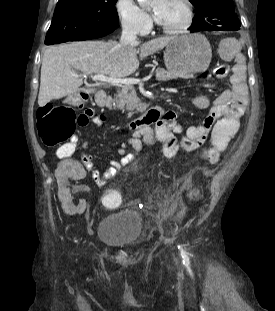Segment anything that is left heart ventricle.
Returning <instances> with one entry per match:
<instances>
[{
    "label": "left heart ventricle",
    "mask_w": 275,
    "mask_h": 311,
    "mask_svg": "<svg viewBox=\"0 0 275 311\" xmlns=\"http://www.w3.org/2000/svg\"><path fill=\"white\" fill-rule=\"evenodd\" d=\"M151 11L160 24L170 28L181 26L187 17L181 0H155Z\"/></svg>",
    "instance_id": "b2bd125f"
}]
</instances>
